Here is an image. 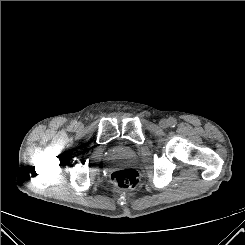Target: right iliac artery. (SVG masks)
Returning <instances> with one entry per match:
<instances>
[{
    "label": "right iliac artery",
    "instance_id": "obj_1",
    "mask_svg": "<svg viewBox=\"0 0 245 245\" xmlns=\"http://www.w3.org/2000/svg\"><path fill=\"white\" fill-rule=\"evenodd\" d=\"M75 125H76V121H73L72 124H71V126L73 127Z\"/></svg>",
    "mask_w": 245,
    "mask_h": 245
}]
</instances>
